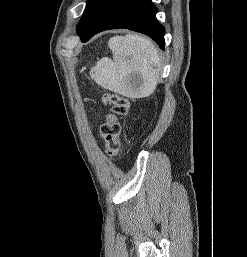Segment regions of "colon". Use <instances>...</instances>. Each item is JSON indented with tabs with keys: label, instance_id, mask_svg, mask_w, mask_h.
I'll use <instances>...</instances> for the list:
<instances>
[{
	"label": "colon",
	"instance_id": "5ec220e1",
	"mask_svg": "<svg viewBox=\"0 0 247 257\" xmlns=\"http://www.w3.org/2000/svg\"><path fill=\"white\" fill-rule=\"evenodd\" d=\"M103 101L111 106L105 122L100 127L105 143V151L109 157H115L120 152V119L127 115L129 101L119 94H106Z\"/></svg>",
	"mask_w": 247,
	"mask_h": 257
}]
</instances>
